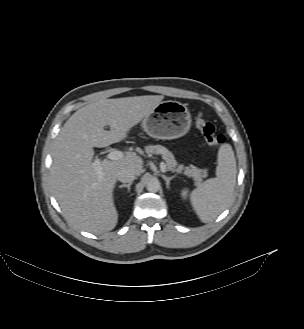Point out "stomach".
Segmentation results:
<instances>
[{"mask_svg": "<svg viewBox=\"0 0 304 329\" xmlns=\"http://www.w3.org/2000/svg\"><path fill=\"white\" fill-rule=\"evenodd\" d=\"M144 131L153 138L170 140L185 135L191 126L188 108L177 101H163L143 119Z\"/></svg>", "mask_w": 304, "mask_h": 329, "instance_id": "1", "label": "stomach"}]
</instances>
